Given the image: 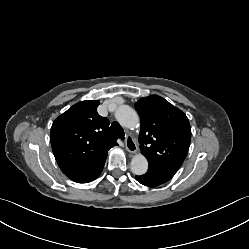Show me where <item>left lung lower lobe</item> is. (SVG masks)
<instances>
[{
	"mask_svg": "<svg viewBox=\"0 0 249 249\" xmlns=\"http://www.w3.org/2000/svg\"><path fill=\"white\" fill-rule=\"evenodd\" d=\"M172 177L173 176L170 174L163 173L152 168H148L147 173L141 176H136V180L145 186L155 187L166 183Z\"/></svg>",
	"mask_w": 249,
	"mask_h": 249,
	"instance_id": "left-lung-lower-lobe-1",
	"label": "left lung lower lobe"
}]
</instances>
